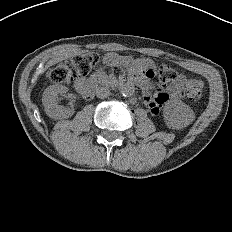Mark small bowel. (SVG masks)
<instances>
[{"mask_svg":"<svg viewBox=\"0 0 232 232\" xmlns=\"http://www.w3.org/2000/svg\"><path fill=\"white\" fill-rule=\"evenodd\" d=\"M104 65L108 68H115L116 66L134 67L141 71L143 76L146 77L143 81L145 84L143 89L144 100L153 113H158L162 105L168 100L180 99L184 92H186V86L190 81L185 75H180L174 83L169 85L166 89H159L156 94L152 96L150 93L151 84L148 79L153 75V65L150 60L129 55H107L104 58Z\"/></svg>","mask_w":232,"mask_h":232,"instance_id":"1","label":"small bowel"}]
</instances>
